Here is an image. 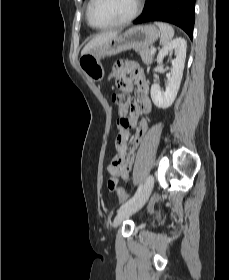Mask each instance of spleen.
Returning a JSON list of instances; mask_svg holds the SVG:
<instances>
[{"label": "spleen", "mask_w": 229, "mask_h": 280, "mask_svg": "<svg viewBox=\"0 0 229 280\" xmlns=\"http://www.w3.org/2000/svg\"><path fill=\"white\" fill-rule=\"evenodd\" d=\"M155 24L161 31L160 44L162 46L168 45L174 36V29L166 23L156 22Z\"/></svg>", "instance_id": "1"}]
</instances>
